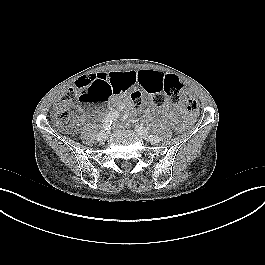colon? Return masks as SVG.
I'll return each instance as SVG.
<instances>
[{"instance_id": "obj_1", "label": "colon", "mask_w": 265, "mask_h": 265, "mask_svg": "<svg viewBox=\"0 0 265 265\" xmlns=\"http://www.w3.org/2000/svg\"><path fill=\"white\" fill-rule=\"evenodd\" d=\"M155 106L162 107L168 101L178 105L184 99V109L193 113L199 109L200 103L196 97L184 94L183 84L178 77L167 74L163 82L155 89L148 91ZM112 95V89L106 83L105 77L85 76L80 78L74 87L70 88L58 102L55 117L60 122H67L71 115V106L75 100L81 101H104ZM134 106L139 107L143 101L141 91L131 94Z\"/></svg>"}]
</instances>
